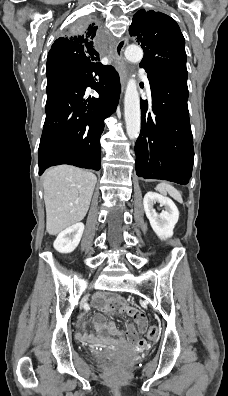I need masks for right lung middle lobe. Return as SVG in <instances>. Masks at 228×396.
I'll list each match as a JSON object with an SVG mask.
<instances>
[{
    "label": "right lung middle lobe",
    "instance_id": "1",
    "mask_svg": "<svg viewBox=\"0 0 228 396\" xmlns=\"http://www.w3.org/2000/svg\"><path fill=\"white\" fill-rule=\"evenodd\" d=\"M87 25V19H80L74 24L73 30L76 32H80L85 29ZM69 72V70H54L47 72V92L52 90L57 84L65 79L68 76Z\"/></svg>",
    "mask_w": 228,
    "mask_h": 396
}]
</instances>
